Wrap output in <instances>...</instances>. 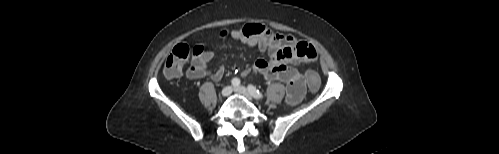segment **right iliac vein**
<instances>
[{"instance_id":"63e3f726","label":"right iliac vein","mask_w":499,"mask_h":154,"mask_svg":"<svg viewBox=\"0 0 499 154\" xmlns=\"http://www.w3.org/2000/svg\"><path fill=\"white\" fill-rule=\"evenodd\" d=\"M232 90L233 89L231 86H226L222 89L221 94H222V96L227 97L232 93Z\"/></svg>"}]
</instances>
